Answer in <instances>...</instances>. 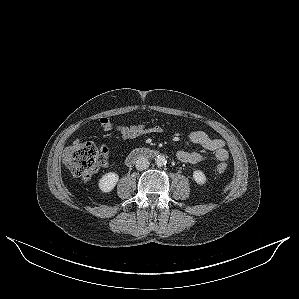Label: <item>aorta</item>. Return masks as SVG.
<instances>
[{
	"instance_id": "762f6f07",
	"label": "aorta",
	"mask_w": 299,
	"mask_h": 299,
	"mask_svg": "<svg viewBox=\"0 0 299 299\" xmlns=\"http://www.w3.org/2000/svg\"><path fill=\"white\" fill-rule=\"evenodd\" d=\"M155 163L158 167H162L164 165H166L167 161L164 155H158L155 158Z\"/></svg>"
}]
</instances>
